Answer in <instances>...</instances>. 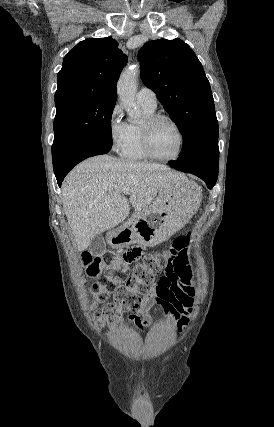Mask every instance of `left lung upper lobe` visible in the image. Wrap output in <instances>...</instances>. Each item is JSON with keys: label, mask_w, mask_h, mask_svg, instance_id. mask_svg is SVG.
<instances>
[{"label": "left lung upper lobe", "mask_w": 274, "mask_h": 427, "mask_svg": "<svg viewBox=\"0 0 274 427\" xmlns=\"http://www.w3.org/2000/svg\"><path fill=\"white\" fill-rule=\"evenodd\" d=\"M141 79L153 90L183 136L177 161L219 166L218 121L203 67L180 39L153 40L139 51Z\"/></svg>", "instance_id": "5c2ea615"}]
</instances>
